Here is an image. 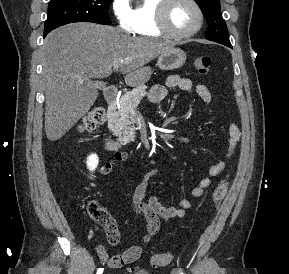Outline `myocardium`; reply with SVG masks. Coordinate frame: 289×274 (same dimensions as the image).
I'll list each match as a JSON object with an SVG mask.
<instances>
[{
	"instance_id": "myocardium-1",
	"label": "myocardium",
	"mask_w": 289,
	"mask_h": 274,
	"mask_svg": "<svg viewBox=\"0 0 289 274\" xmlns=\"http://www.w3.org/2000/svg\"><path fill=\"white\" fill-rule=\"evenodd\" d=\"M188 1L193 5V7L197 12L198 23L193 29L189 31L179 32L174 30L169 23V10L171 8V5L175 2V0H161L156 11V23L158 28L164 34L173 38L182 39L192 37L201 30L204 23L203 10L196 0H188Z\"/></svg>"
}]
</instances>
